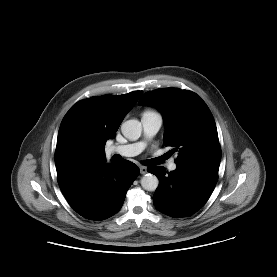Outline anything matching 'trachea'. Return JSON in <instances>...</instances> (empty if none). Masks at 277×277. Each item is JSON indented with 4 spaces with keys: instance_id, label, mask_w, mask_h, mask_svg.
<instances>
[{
    "instance_id": "1",
    "label": "trachea",
    "mask_w": 277,
    "mask_h": 277,
    "mask_svg": "<svg viewBox=\"0 0 277 277\" xmlns=\"http://www.w3.org/2000/svg\"><path fill=\"white\" fill-rule=\"evenodd\" d=\"M162 160H163V158H155V159L145 161V164L146 165H158L162 162Z\"/></svg>"
}]
</instances>
